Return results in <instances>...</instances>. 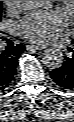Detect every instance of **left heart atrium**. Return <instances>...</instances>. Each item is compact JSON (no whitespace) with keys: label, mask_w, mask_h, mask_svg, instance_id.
Wrapping results in <instances>:
<instances>
[{"label":"left heart atrium","mask_w":74,"mask_h":122,"mask_svg":"<svg viewBox=\"0 0 74 122\" xmlns=\"http://www.w3.org/2000/svg\"><path fill=\"white\" fill-rule=\"evenodd\" d=\"M67 23L59 11L40 10L28 13L18 23L19 30L34 41H47L60 33Z\"/></svg>","instance_id":"obj_1"}]
</instances>
